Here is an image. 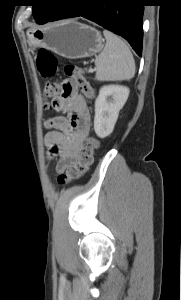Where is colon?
<instances>
[{
    "mask_svg": "<svg viewBox=\"0 0 181 300\" xmlns=\"http://www.w3.org/2000/svg\"><path fill=\"white\" fill-rule=\"evenodd\" d=\"M37 67L40 75L44 79L50 80L46 83L44 88L45 99L57 96L64 89L65 84V82L51 81L57 76L59 71V62L57 57L52 52L41 49L37 54ZM64 71L88 99L93 98L94 91L85 79L84 69L74 64H67L64 67ZM44 106L45 108H49V104L47 102ZM98 147V140L94 137H90L80 151L76 161L70 163L65 170L58 175V183L65 185L81 178L92 164L94 153Z\"/></svg>",
    "mask_w": 181,
    "mask_h": 300,
    "instance_id": "1",
    "label": "colon"
}]
</instances>
